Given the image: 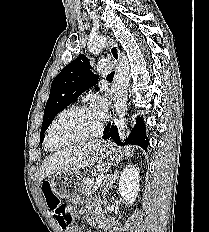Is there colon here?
<instances>
[{
    "label": "colon",
    "instance_id": "obj_1",
    "mask_svg": "<svg viewBox=\"0 0 209 232\" xmlns=\"http://www.w3.org/2000/svg\"><path fill=\"white\" fill-rule=\"evenodd\" d=\"M42 190L46 198L47 205L53 212V216L56 220V226H61L62 228L69 227L72 223V215L69 211V207L60 202L49 184H44Z\"/></svg>",
    "mask_w": 209,
    "mask_h": 232
}]
</instances>
